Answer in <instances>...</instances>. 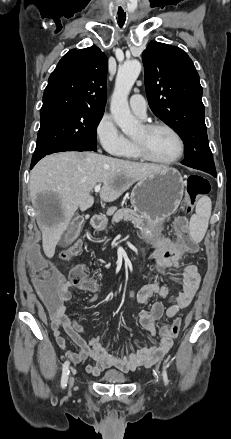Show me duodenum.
Returning <instances> with one entry per match:
<instances>
[{
    "mask_svg": "<svg viewBox=\"0 0 231 439\" xmlns=\"http://www.w3.org/2000/svg\"><path fill=\"white\" fill-rule=\"evenodd\" d=\"M90 223L93 228H100L104 225L105 218L102 215H93Z\"/></svg>",
    "mask_w": 231,
    "mask_h": 439,
    "instance_id": "obj_1",
    "label": "duodenum"
}]
</instances>
